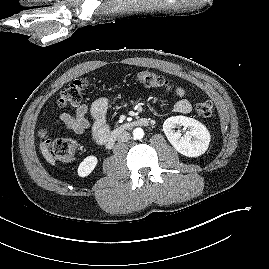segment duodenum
Returning a JSON list of instances; mask_svg holds the SVG:
<instances>
[{
  "label": "duodenum",
  "mask_w": 269,
  "mask_h": 269,
  "mask_svg": "<svg viewBox=\"0 0 269 269\" xmlns=\"http://www.w3.org/2000/svg\"><path fill=\"white\" fill-rule=\"evenodd\" d=\"M149 123L150 121L147 118H138L133 121L121 124L118 128L108 133L105 140V145L108 148H111L116 143L120 134L126 131L127 129L132 128V127H138V126H148Z\"/></svg>",
  "instance_id": "1"
}]
</instances>
